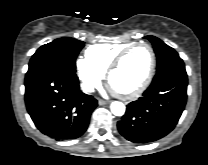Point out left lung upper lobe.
Masks as SVG:
<instances>
[{
	"mask_svg": "<svg viewBox=\"0 0 208 165\" xmlns=\"http://www.w3.org/2000/svg\"><path fill=\"white\" fill-rule=\"evenodd\" d=\"M145 38L149 39L153 44L154 51L157 55V70L172 62L182 60L173 48L166 45L160 39L154 36H146Z\"/></svg>",
	"mask_w": 208,
	"mask_h": 165,
	"instance_id": "left-lung-upper-lobe-1",
	"label": "left lung upper lobe"
}]
</instances>
